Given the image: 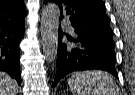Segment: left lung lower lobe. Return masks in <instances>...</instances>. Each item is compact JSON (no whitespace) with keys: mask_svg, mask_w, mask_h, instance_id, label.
I'll list each match as a JSON object with an SVG mask.
<instances>
[{"mask_svg":"<svg viewBox=\"0 0 135 95\" xmlns=\"http://www.w3.org/2000/svg\"><path fill=\"white\" fill-rule=\"evenodd\" d=\"M75 33V37L66 35L71 43H63L65 33L59 27L57 70L52 86L71 72L91 69L108 71L118 78L113 34L77 30Z\"/></svg>","mask_w":135,"mask_h":95,"instance_id":"obj_1","label":"left lung lower lobe"}]
</instances>
